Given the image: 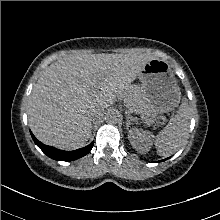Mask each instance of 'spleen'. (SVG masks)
<instances>
[{
    "label": "spleen",
    "instance_id": "spleen-1",
    "mask_svg": "<svg viewBox=\"0 0 220 220\" xmlns=\"http://www.w3.org/2000/svg\"><path fill=\"white\" fill-rule=\"evenodd\" d=\"M190 107L183 98L177 114L155 139V147L160 156H169L178 151L189 135Z\"/></svg>",
    "mask_w": 220,
    "mask_h": 220
}]
</instances>
